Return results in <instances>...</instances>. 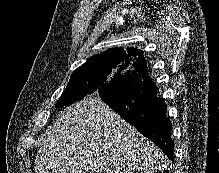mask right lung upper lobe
<instances>
[{"label": "right lung upper lobe", "mask_w": 219, "mask_h": 173, "mask_svg": "<svg viewBox=\"0 0 219 173\" xmlns=\"http://www.w3.org/2000/svg\"><path fill=\"white\" fill-rule=\"evenodd\" d=\"M143 52L135 48H110L103 53L90 57L86 63L78 67L74 72H78L85 66H98L107 62L115 61L124 65L131 66L134 70H138L146 66V60L143 57Z\"/></svg>", "instance_id": "obj_1"}]
</instances>
